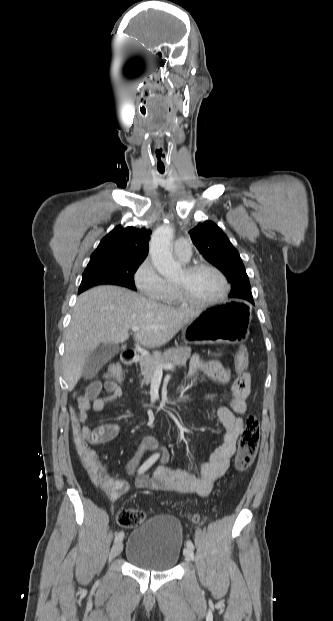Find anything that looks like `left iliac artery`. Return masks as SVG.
Instances as JSON below:
<instances>
[{
  "label": "left iliac artery",
  "instance_id": "left-iliac-artery-1",
  "mask_svg": "<svg viewBox=\"0 0 333 621\" xmlns=\"http://www.w3.org/2000/svg\"><path fill=\"white\" fill-rule=\"evenodd\" d=\"M186 545H187L188 548H190L192 550L194 549V545H193L191 540H187Z\"/></svg>",
  "mask_w": 333,
  "mask_h": 621
}]
</instances>
